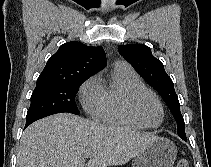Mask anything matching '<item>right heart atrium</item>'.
I'll list each match as a JSON object with an SVG mask.
<instances>
[{
	"mask_svg": "<svg viewBox=\"0 0 211 167\" xmlns=\"http://www.w3.org/2000/svg\"><path fill=\"white\" fill-rule=\"evenodd\" d=\"M80 100L83 108L93 113L100 101L101 83L98 75H93L81 85L79 90Z\"/></svg>",
	"mask_w": 211,
	"mask_h": 167,
	"instance_id": "obj_1",
	"label": "right heart atrium"
}]
</instances>
